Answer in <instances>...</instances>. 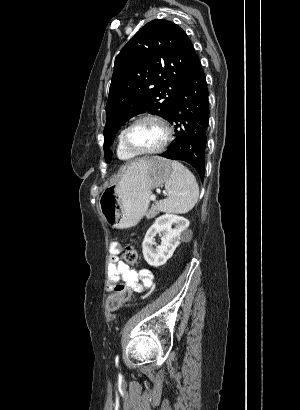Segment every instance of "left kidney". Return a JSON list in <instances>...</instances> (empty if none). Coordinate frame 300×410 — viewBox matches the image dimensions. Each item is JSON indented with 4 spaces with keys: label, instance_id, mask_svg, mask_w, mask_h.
I'll return each mask as SVG.
<instances>
[{
    "label": "left kidney",
    "instance_id": "5707ae66",
    "mask_svg": "<svg viewBox=\"0 0 300 410\" xmlns=\"http://www.w3.org/2000/svg\"><path fill=\"white\" fill-rule=\"evenodd\" d=\"M174 226V228H172ZM189 220L174 214H163L156 218L147 230L142 243L146 262L154 267L164 265L180 244L181 234L188 228ZM160 234L161 245L153 247L154 237Z\"/></svg>",
    "mask_w": 300,
    "mask_h": 410
}]
</instances>
